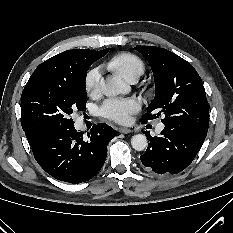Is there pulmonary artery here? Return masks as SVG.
<instances>
[{"instance_id": "obj_1", "label": "pulmonary artery", "mask_w": 233, "mask_h": 233, "mask_svg": "<svg viewBox=\"0 0 233 233\" xmlns=\"http://www.w3.org/2000/svg\"><path fill=\"white\" fill-rule=\"evenodd\" d=\"M137 79H138V77H133V78L130 79V81L134 83V82L137 81ZM163 128H164V124H163V123H159V124L157 125V127H156V131H157V132H160V131L163 130Z\"/></svg>"}]
</instances>
